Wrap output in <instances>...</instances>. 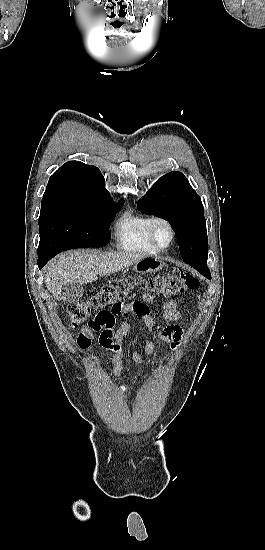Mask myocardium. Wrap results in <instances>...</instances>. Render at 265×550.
Instances as JSON below:
<instances>
[{"mask_svg": "<svg viewBox=\"0 0 265 550\" xmlns=\"http://www.w3.org/2000/svg\"><path fill=\"white\" fill-rule=\"evenodd\" d=\"M158 225H164L168 231H169V234H170V241L168 243V245L166 246H162L159 244V242L157 241L156 237H155V228L158 226ZM148 237L151 241V243L153 244V246L157 249V250H166L168 248H170L174 241H175V230L172 226V224L170 223L169 220L163 218V217H153L150 222H149V225H148Z\"/></svg>", "mask_w": 265, "mask_h": 550, "instance_id": "obj_1", "label": "myocardium"}]
</instances>
